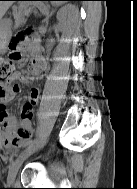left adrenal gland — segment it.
Returning a JSON list of instances; mask_svg holds the SVG:
<instances>
[{
    "label": "left adrenal gland",
    "instance_id": "a2214340",
    "mask_svg": "<svg viewBox=\"0 0 137 189\" xmlns=\"http://www.w3.org/2000/svg\"><path fill=\"white\" fill-rule=\"evenodd\" d=\"M53 12H54V10H52V11L50 12V14L47 15L46 19L44 20V21L46 22V24H48L49 18L52 16Z\"/></svg>",
    "mask_w": 137,
    "mask_h": 189
}]
</instances>
